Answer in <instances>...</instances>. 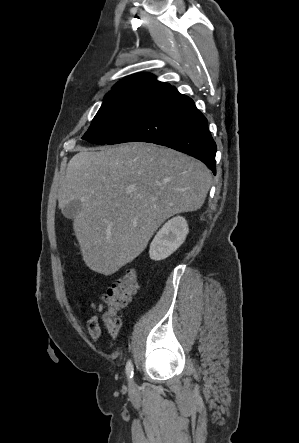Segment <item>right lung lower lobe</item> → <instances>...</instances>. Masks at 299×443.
Here are the masks:
<instances>
[{
    "mask_svg": "<svg viewBox=\"0 0 299 443\" xmlns=\"http://www.w3.org/2000/svg\"><path fill=\"white\" fill-rule=\"evenodd\" d=\"M148 142L167 146L203 161L215 174L216 144L207 119L193 100L170 87L122 134L108 144Z\"/></svg>",
    "mask_w": 299,
    "mask_h": 443,
    "instance_id": "98d812e1",
    "label": "right lung lower lobe"
}]
</instances>
